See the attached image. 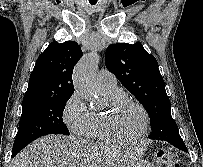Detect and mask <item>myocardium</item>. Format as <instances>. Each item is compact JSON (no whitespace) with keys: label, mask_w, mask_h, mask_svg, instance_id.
Listing matches in <instances>:
<instances>
[{"label":"myocardium","mask_w":203,"mask_h":167,"mask_svg":"<svg viewBox=\"0 0 203 167\" xmlns=\"http://www.w3.org/2000/svg\"><path fill=\"white\" fill-rule=\"evenodd\" d=\"M122 102H128V103L136 106L140 110V112L142 113V116H143L142 131L134 139H125V138L118 136L114 132L113 127H112L113 112L116 109V107ZM149 125H150V118H149V114H148L146 108L140 102H138L137 100L129 97L128 95H126L122 92L114 93L109 97V108L101 116V126H102V130H103L104 134L110 141L119 143V144L130 145V144H136V143L142 141L145 138V136L147 135Z\"/></svg>","instance_id":"obj_1"}]
</instances>
